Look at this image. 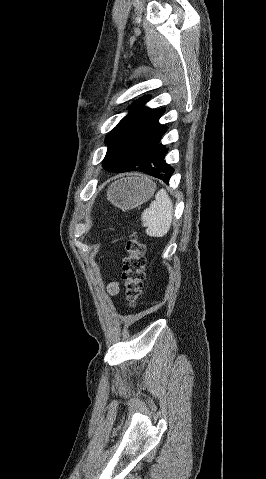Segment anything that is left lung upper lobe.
I'll list each match as a JSON object with an SVG mask.
<instances>
[{"label": "left lung upper lobe", "instance_id": "left-lung-upper-lobe-1", "mask_svg": "<svg viewBox=\"0 0 266 479\" xmlns=\"http://www.w3.org/2000/svg\"><path fill=\"white\" fill-rule=\"evenodd\" d=\"M150 96L135 101L131 112L106 136L108 146L103 167L110 172L137 167L142 161L158 154L166 126L158 120L164 109H150L144 104Z\"/></svg>", "mask_w": 266, "mask_h": 479}]
</instances>
